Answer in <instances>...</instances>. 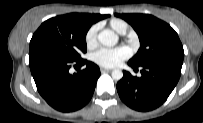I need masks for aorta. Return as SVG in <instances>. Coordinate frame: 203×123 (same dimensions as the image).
<instances>
[{"label": "aorta", "instance_id": "obj_1", "mask_svg": "<svg viewBox=\"0 0 203 123\" xmlns=\"http://www.w3.org/2000/svg\"><path fill=\"white\" fill-rule=\"evenodd\" d=\"M99 42L107 47H112L118 42V35H116L113 31L109 29H105L98 34ZM123 77V72L119 69H115L112 71V78L114 80H120Z\"/></svg>", "mask_w": 203, "mask_h": 123}]
</instances>
